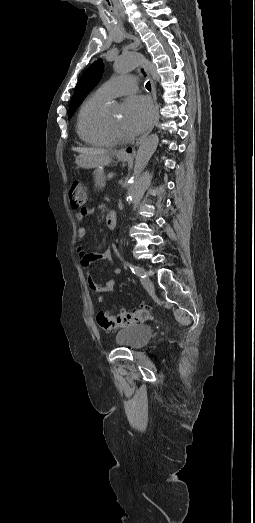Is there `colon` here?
<instances>
[{"label":"colon","mask_w":255,"mask_h":523,"mask_svg":"<svg viewBox=\"0 0 255 523\" xmlns=\"http://www.w3.org/2000/svg\"><path fill=\"white\" fill-rule=\"evenodd\" d=\"M70 205L74 209H82L87 202V195L84 184L81 181H74L69 190ZM152 318L151 308L148 305L142 306L133 312H121L116 315L101 311L97 314L98 325L111 331L119 327L136 325L146 322Z\"/></svg>","instance_id":"1"}]
</instances>
